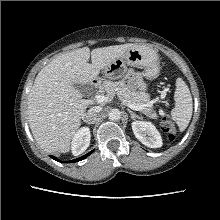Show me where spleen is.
Wrapping results in <instances>:
<instances>
[{"label":"spleen","mask_w":220,"mask_h":220,"mask_svg":"<svg viewBox=\"0 0 220 220\" xmlns=\"http://www.w3.org/2000/svg\"><path fill=\"white\" fill-rule=\"evenodd\" d=\"M175 107L171 111L180 131H184L192 117L193 103L190 90L181 78L176 80V90L174 94Z\"/></svg>","instance_id":"1"}]
</instances>
